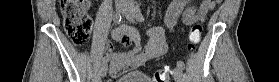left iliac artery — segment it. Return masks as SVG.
<instances>
[{
    "instance_id": "44dca946",
    "label": "left iliac artery",
    "mask_w": 279,
    "mask_h": 82,
    "mask_svg": "<svg viewBox=\"0 0 279 82\" xmlns=\"http://www.w3.org/2000/svg\"><path fill=\"white\" fill-rule=\"evenodd\" d=\"M135 16H136L138 21H144V16H143V14L141 12V9H140V3L136 5ZM177 66L180 69H184L185 68V65H184V63L182 61H177ZM166 69L169 70V67H166Z\"/></svg>"
}]
</instances>
